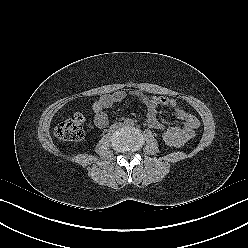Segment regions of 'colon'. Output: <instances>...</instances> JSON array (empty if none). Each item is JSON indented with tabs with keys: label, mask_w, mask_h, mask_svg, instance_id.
I'll use <instances>...</instances> for the list:
<instances>
[{
	"label": "colon",
	"mask_w": 248,
	"mask_h": 248,
	"mask_svg": "<svg viewBox=\"0 0 248 248\" xmlns=\"http://www.w3.org/2000/svg\"><path fill=\"white\" fill-rule=\"evenodd\" d=\"M55 134L63 141H80L84 137V117L77 113L63 119L56 127ZM162 140L168 146L182 145L179 137L169 131L162 133Z\"/></svg>",
	"instance_id": "obj_1"
}]
</instances>
